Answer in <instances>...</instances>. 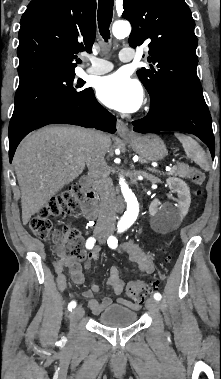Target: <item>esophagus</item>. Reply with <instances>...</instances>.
I'll list each match as a JSON object with an SVG mask.
<instances>
[{
	"mask_svg": "<svg viewBox=\"0 0 221 379\" xmlns=\"http://www.w3.org/2000/svg\"><path fill=\"white\" fill-rule=\"evenodd\" d=\"M116 127H117V133L120 136H129L130 135V131H129L127 124L125 122H123L122 120H120V119L117 120Z\"/></svg>",
	"mask_w": 221,
	"mask_h": 379,
	"instance_id": "34e87169",
	"label": "esophagus"
}]
</instances>
